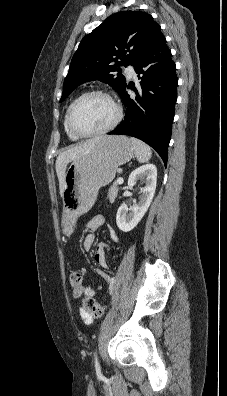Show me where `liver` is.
<instances>
[{"label":"liver","mask_w":227,"mask_h":396,"mask_svg":"<svg viewBox=\"0 0 227 396\" xmlns=\"http://www.w3.org/2000/svg\"><path fill=\"white\" fill-rule=\"evenodd\" d=\"M100 138H94L91 140H87L81 144H77L76 146L62 152L59 154L56 160V173L59 180V189L60 195L63 196L64 192V180L66 174L67 165L75 160L80 154H82L85 150L90 148L95 142H97Z\"/></svg>","instance_id":"obj_1"}]
</instances>
